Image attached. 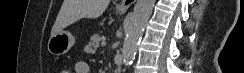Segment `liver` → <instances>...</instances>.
Listing matches in <instances>:
<instances>
[{
	"mask_svg": "<svg viewBox=\"0 0 244 73\" xmlns=\"http://www.w3.org/2000/svg\"><path fill=\"white\" fill-rule=\"evenodd\" d=\"M109 3L110 0H64L52 27L51 36L82 18L94 19L101 16Z\"/></svg>",
	"mask_w": 244,
	"mask_h": 73,
	"instance_id": "1",
	"label": "liver"
}]
</instances>
